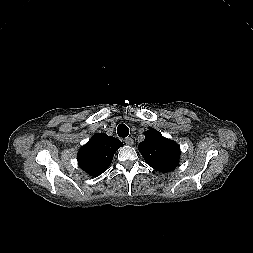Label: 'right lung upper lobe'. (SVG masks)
Wrapping results in <instances>:
<instances>
[{
  "label": "right lung upper lobe",
  "mask_w": 253,
  "mask_h": 253,
  "mask_svg": "<svg viewBox=\"0 0 253 253\" xmlns=\"http://www.w3.org/2000/svg\"><path fill=\"white\" fill-rule=\"evenodd\" d=\"M123 143L104 133L94 135L78 152L79 166L90 176L97 177L110 166L114 153Z\"/></svg>",
  "instance_id": "right-lung-upper-lobe-1"
}]
</instances>
